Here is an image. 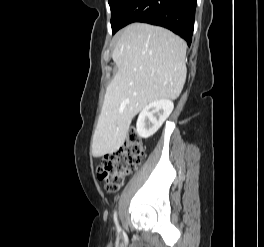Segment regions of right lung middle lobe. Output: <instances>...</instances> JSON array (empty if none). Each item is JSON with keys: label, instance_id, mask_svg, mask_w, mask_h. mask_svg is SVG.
<instances>
[{"label": "right lung middle lobe", "instance_id": "right-lung-middle-lobe-1", "mask_svg": "<svg viewBox=\"0 0 264 247\" xmlns=\"http://www.w3.org/2000/svg\"><path fill=\"white\" fill-rule=\"evenodd\" d=\"M130 0H108L111 9V26L114 34L117 27V20Z\"/></svg>", "mask_w": 264, "mask_h": 247}]
</instances>
